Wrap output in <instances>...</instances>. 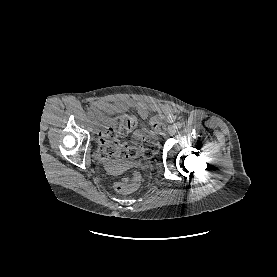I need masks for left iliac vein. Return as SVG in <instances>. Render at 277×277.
Returning <instances> with one entry per match:
<instances>
[{
  "mask_svg": "<svg viewBox=\"0 0 277 277\" xmlns=\"http://www.w3.org/2000/svg\"><path fill=\"white\" fill-rule=\"evenodd\" d=\"M176 131H177V128H176L175 125H170V126L168 127V133H169L170 135H174V134L176 133Z\"/></svg>",
  "mask_w": 277,
  "mask_h": 277,
  "instance_id": "4c4485c4",
  "label": "left iliac vein"
}]
</instances>
